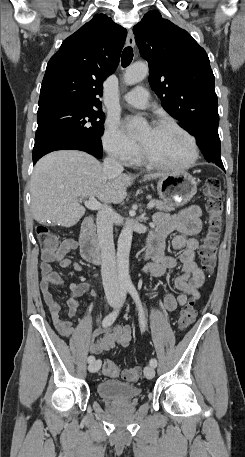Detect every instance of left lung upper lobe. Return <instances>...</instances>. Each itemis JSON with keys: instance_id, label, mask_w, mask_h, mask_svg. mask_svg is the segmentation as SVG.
I'll return each instance as SVG.
<instances>
[{"instance_id": "1", "label": "left lung upper lobe", "mask_w": 245, "mask_h": 457, "mask_svg": "<svg viewBox=\"0 0 245 457\" xmlns=\"http://www.w3.org/2000/svg\"><path fill=\"white\" fill-rule=\"evenodd\" d=\"M135 40L150 68L151 88L162 107L186 131L219 122L215 78L205 50L190 34L149 11L133 28Z\"/></svg>"}]
</instances>
